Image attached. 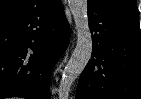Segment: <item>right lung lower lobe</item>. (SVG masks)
Listing matches in <instances>:
<instances>
[{
	"label": "right lung lower lobe",
	"mask_w": 141,
	"mask_h": 99,
	"mask_svg": "<svg viewBox=\"0 0 141 99\" xmlns=\"http://www.w3.org/2000/svg\"><path fill=\"white\" fill-rule=\"evenodd\" d=\"M69 37L60 0L0 16V99H50L49 78Z\"/></svg>",
	"instance_id": "obj_1"
}]
</instances>
